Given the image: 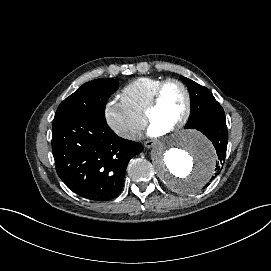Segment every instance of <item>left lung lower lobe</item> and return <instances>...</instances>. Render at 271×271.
<instances>
[{"mask_svg": "<svg viewBox=\"0 0 271 271\" xmlns=\"http://www.w3.org/2000/svg\"><path fill=\"white\" fill-rule=\"evenodd\" d=\"M196 129L206 135L212 141L216 149V173L212 176L210 180L212 181L221 172L226 157L228 133L223 108L210 111L205 115ZM208 185L209 184L205 185V187Z\"/></svg>", "mask_w": 271, "mask_h": 271, "instance_id": "obj_1", "label": "left lung lower lobe"}]
</instances>
